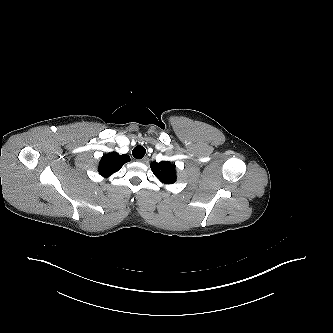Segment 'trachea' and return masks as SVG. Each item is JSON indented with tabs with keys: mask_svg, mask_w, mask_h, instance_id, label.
<instances>
[{
	"mask_svg": "<svg viewBox=\"0 0 333 333\" xmlns=\"http://www.w3.org/2000/svg\"><path fill=\"white\" fill-rule=\"evenodd\" d=\"M145 153H146V150L141 145L136 146L132 151L133 157L136 159H142L144 157Z\"/></svg>",
	"mask_w": 333,
	"mask_h": 333,
	"instance_id": "3493384b",
	"label": "trachea"
}]
</instances>
